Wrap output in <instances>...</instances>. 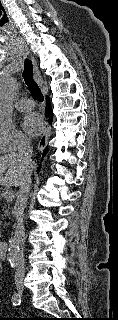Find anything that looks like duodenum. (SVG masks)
Here are the masks:
<instances>
[{"mask_svg": "<svg viewBox=\"0 0 118 320\" xmlns=\"http://www.w3.org/2000/svg\"><path fill=\"white\" fill-rule=\"evenodd\" d=\"M8 251V243L6 241H0V260L6 259Z\"/></svg>", "mask_w": 118, "mask_h": 320, "instance_id": "obj_1", "label": "duodenum"}]
</instances>
